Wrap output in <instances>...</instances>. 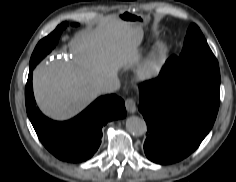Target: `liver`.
<instances>
[{"label":"liver","instance_id":"liver-1","mask_svg":"<svg viewBox=\"0 0 236 182\" xmlns=\"http://www.w3.org/2000/svg\"><path fill=\"white\" fill-rule=\"evenodd\" d=\"M142 38L140 27L116 17L104 19L95 29L79 32L69 48L81 60L80 65L42 62L34 70V94L42 112L56 120L78 114L100 94L99 87L106 79L117 77L122 67L139 60Z\"/></svg>","mask_w":236,"mask_h":182}]
</instances>
